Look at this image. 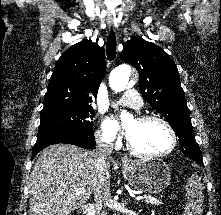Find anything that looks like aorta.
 Wrapping results in <instances>:
<instances>
[{
  "mask_svg": "<svg viewBox=\"0 0 221 215\" xmlns=\"http://www.w3.org/2000/svg\"><path fill=\"white\" fill-rule=\"evenodd\" d=\"M131 74V69L128 65H121L115 68L109 76V85L111 89L115 92L124 91L129 82V77ZM128 116L127 113H122L121 118Z\"/></svg>",
  "mask_w": 221,
  "mask_h": 215,
  "instance_id": "obj_1",
  "label": "aorta"
}]
</instances>
